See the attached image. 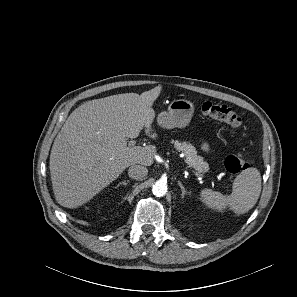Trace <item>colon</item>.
I'll return each mask as SVG.
<instances>
[{"mask_svg":"<svg viewBox=\"0 0 297 297\" xmlns=\"http://www.w3.org/2000/svg\"><path fill=\"white\" fill-rule=\"evenodd\" d=\"M199 108L204 115L210 118L221 120L234 128L242 126V119L238 112L227 105L204 101ZM224 164L231 174H238L248 167V162L243 156L230 155L225 159Z\"/></svg>","mask_w":297,"mask_h":297,"instance_id":"1","label":"colon"}]
</instances>
